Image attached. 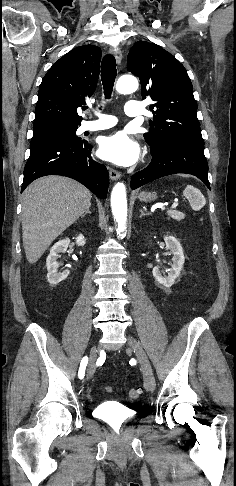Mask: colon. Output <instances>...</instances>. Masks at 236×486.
<instances>
[{
    "label": "colon",
    "mask_w": 236,
    "mask_h": 486,
    "mask_svg": "<svg viewBox=\"0 0 236 486\" xmlns=\"http://www.w3.org/2000/svg\"><path fill=\"white\" fill-rule=\"evenodd\" d=\"M142 394V389L140 387H134L129 390L128 397L132 400L138 399Z\"/></svg>",
    "instance_id": "1"
}]
</instances>
